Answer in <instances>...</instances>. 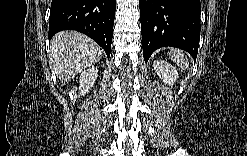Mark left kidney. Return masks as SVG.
I'll list each match as a JSON object with an SVG mask.
<instances>
[{
	"mask_svg": "<svg viewBox=\"0 0 247 156\" xmlns=\"http://www.w3.org/2000/svg\"><path fill=\"white\" fill-rule=\"evenodd\" d=\"M153 68L165 84L174 85L178 78V72L171 64L162 60H154Z\"/></svg>",
	"mask_w": 247,
	"mask_h": 156,
	"instance_id": "obj_1",
	"label": "left kidney"
}]
</instances>
